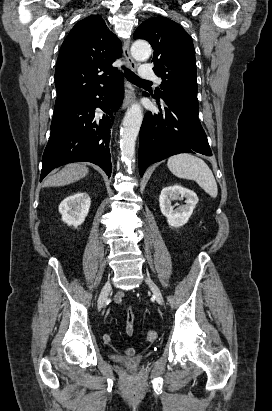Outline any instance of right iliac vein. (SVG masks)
<instances>
[{
  "label": "right iliac vein",
  "instance_id": "obj_1",
  "mask_svg": "<svg viewBox=\"0 0 272 411\" xmlns=\"http://www.w3.org/2000/svg\"><path fill=\"white\" fill-rule=\"evenodd\" d=\"M110 290H111V283H110V281H107L106 284L104 285L103 290L101 292V295L98 299L99 308H101L105 305L106 300H107V296H108Z\"/></svg>",
  "mask_w": 272,
  "mask_h": 411
}]
</instances>
